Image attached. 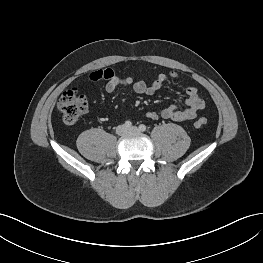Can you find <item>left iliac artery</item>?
<instances>
[{
  "instance_id": "left-iliac-artery-1",
  "label": "left iliac artery",
  "mask_w": 263,
  "mask_h": 263,
  "mask_svg": "<svg viewBox=\"0 0 263 263\" xmlns=\"http://www.w3.org/2000/svg\"><path fill=\"white\" fill-rule=\"evenodd\" d=\"M139 130L144 132L146 130V126L144 124L139 125Z\"/></svg>"
}]
</instances>
